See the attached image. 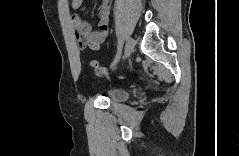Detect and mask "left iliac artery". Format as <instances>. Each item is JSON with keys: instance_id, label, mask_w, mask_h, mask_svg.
<instances>
[{"instance_id": "44dca946", "label": "left iliac artery", "mask_w": 239, "mask_h": 156, "mask_svg": "<svg viewBox=\"0 0 239 156\" xmlns=\"http://www.w3.org/2000/svg\"><path fill=\"white\" fill-rule=\"evenodd\" d=\"M122 46H123V39L120 38L119 42H118V47H117V54L115 56V59L113 60V62L111 63V67L115 66L116 63L119 61L120 56H121V50H122Z\"/></svg>"}]
</instances>
